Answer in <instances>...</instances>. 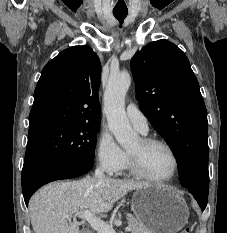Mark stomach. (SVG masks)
I'll return each instance as SVG.
<instances>
[{"label":"stomach","instance_id":"1","mask_svg":"<svg viewBox=\"0 0 227 233\" xmlns=\"http://www.w3.org/2000/svg\"><path fill=\"white\" fill-rule=\"evenodd\" d=\"M132 210L151 233H176L189 218L185 200L171 187L149 185L137 189Z\"/></svg>","mask_w":227,"mask_h":233}]
</instances>
